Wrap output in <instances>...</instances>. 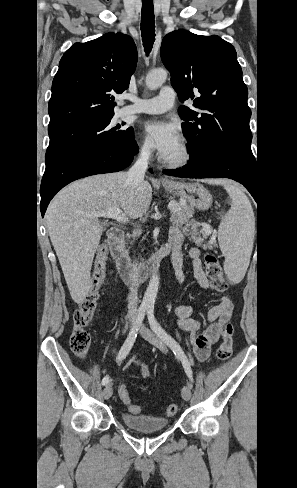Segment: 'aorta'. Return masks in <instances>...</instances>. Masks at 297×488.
<instances>
[{
  "label": "aorta",
  "instance_id": "1",
  "mask_svg": "<svg viewBox=\"0 0 297 488\" xmlns=\"http://www.w3.org/2000/svg\"><path fill=\"white\" fill-rule=\"evenodd\" d=\"M166 78L167 71L160 68L148 73L145 79V83L149 89L154 90L162 86ZM159 281V275L157 273H154L150 278L149 284L143 297L142 304L144 306L154 307L158 293Z\"/></svg>",
  "mask_w": 297,
  "mask_h": 488
}]
</instances>
